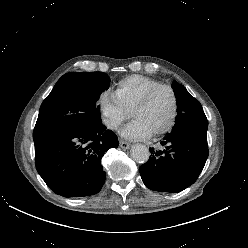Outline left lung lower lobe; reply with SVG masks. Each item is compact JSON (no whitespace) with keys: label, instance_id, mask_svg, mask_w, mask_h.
I'll return each instance as SVG.
<instances>
[{"label":"left lung lower lobe","instance_id":"obj_1","mask_svg":"<svg viewBox=\"0 0 248 248\" xmlns=\"http://www.w3.org/2000/svg\"><path fill=\"white\" fill-rule=\"evenodd\" d=\"M163 151L150 148L149 160L141 165L143 183L159 192H180L192 185L208 157L207 131L179 129L168 134L161 143Z\"/></svg>","mask_w":248,"mask_h":248}]
</instances>
